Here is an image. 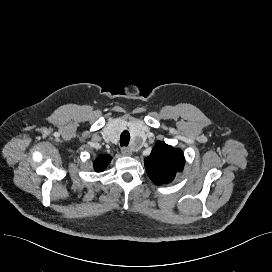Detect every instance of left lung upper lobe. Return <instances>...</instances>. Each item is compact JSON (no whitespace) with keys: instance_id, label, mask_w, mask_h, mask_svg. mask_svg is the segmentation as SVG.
<instances>
[{"instance_id":"5c2ea615","label":"left lung upper lobe","mask_w":272,"mask_h":272,"mask_svg":"<svg viewBox=\"0 0 272 272\" xmlns=\"http://www.w3.org/2000/svg\"><path fill=\"white\" fill-rule=\"evenodd\" d=\"M150 179L157 185L171 182L184 166L182 151L164 142H157L151 154L144 160Z\"/></svg>"}]
</instances>
